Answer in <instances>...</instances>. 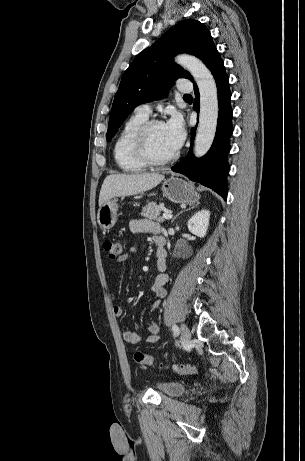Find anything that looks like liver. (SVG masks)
Segmentation results:
<instances>
[{
  "label": "liver",
  "instance_id": "liver-1",
  "mask_svg": "<svg viewBox=\"0 0 305 461\" xmlns=\"http://www.w3.org/2000/svg\"><path fill=\"white\" fill-rule=\"evenodd\" d=\"M164 175L159 173L111 174L102 184L99 194V206L115 197L136 195L156 187Z\"/></svg>",
  "mask_w": 305,
  "mask_h": 461
}]
</instances>
